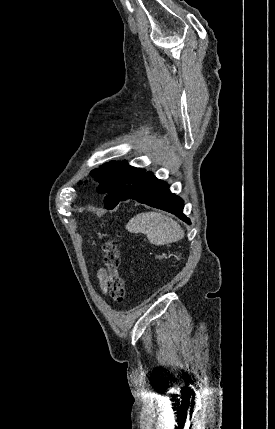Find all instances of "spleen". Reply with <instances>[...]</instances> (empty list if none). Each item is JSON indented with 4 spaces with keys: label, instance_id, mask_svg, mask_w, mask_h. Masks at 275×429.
Masks as SVG:
<instances>
[{
    "label": "spleen",
    "instance_id": "3e777b00",
    "mask_svg": "<svg viewBox=\"0 0 275 429\" xmlns=\"http://www.w3.org/2000/svg\"><path fill=\"white\" fill-rule=\"evenodd\" d=\"M132 233L145 234L153 245H164L183 238L184 230L172 218L159 212H144L137 214L126 225Z\"/></svg>",
    "mask_w": 275,
    "mask_h": 429
}]
</instances>
